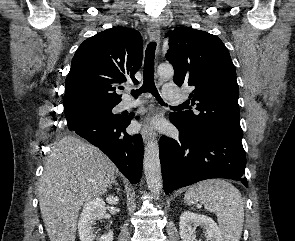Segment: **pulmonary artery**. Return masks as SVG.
Instances as JSON below:
<instances>
[{"instance_id": "obj_1", "label": "pulmonary artery", "mask_w": 295, "mask_h": 241, "mask_svg": "<svg viewBox=\"0 0 295 241\" xmlns=\"http://www.w3.org/2000/svg\"><path fill=\"white\" fill-rule=\"evenodd\" d=\"M163 96L170 101H178L180 97L179 89L175 84H165L163 86ZM139 102L132 101L129 98H125L121 104L122 108L129 109L138 106Z\"/></svg>"}]
</instances>
